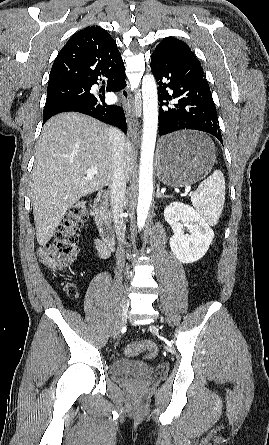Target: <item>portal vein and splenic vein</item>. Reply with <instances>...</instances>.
<instances>
[{
	"mask_svg": "<svg viewBox=\"0 0 269 445\" xmlns=\"http://www.w3.org/2000/svg\"><path fill=\"white\" fill-rule=\"evenodd\" d=\"M87 174H88V176H93L95 174H98V169L96 167L89 168L87 170ZM190 190H191L190 186H187L186 189H185V191L188 192V193L190 192Z\"/></svg>",
	"mask_w": 269,
	"mask_h": 445,
	"instance_id": "obj_1",
	"label": "portal vein and splenic vein"
}]
</instances>
